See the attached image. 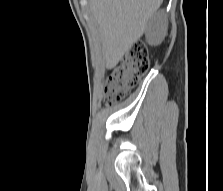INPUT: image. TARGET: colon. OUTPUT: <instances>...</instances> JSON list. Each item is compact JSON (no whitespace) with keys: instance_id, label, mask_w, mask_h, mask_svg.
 <instances>
[{"instance_id":"obj_1","label":"colon","mask_w":223,"mask_h":191,"mask_svg":"<svg viewBox=\"0 0 223 191\" xmlns=\"http://www.w3.org/2000/svg\"><path fill=\"white\" fill-rule=\"evenodd\" d=\"M150 67L145 46L135 44L124 59L111 71L105 86L104 102L107 106L123 100L138 86L139 79Z\"/></svg>"}]
</instances>
